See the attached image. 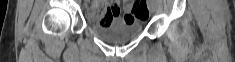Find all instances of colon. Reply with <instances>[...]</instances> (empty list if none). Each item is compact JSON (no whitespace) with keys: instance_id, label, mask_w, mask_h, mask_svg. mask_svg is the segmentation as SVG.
<instances>
[{"instance_id":"5ec220e1","label":"colon","mask_w":235,"mask_h":62,"mask_svg":"<svg viewBox=\"0 0 235 62\" xmlns=\"http://www.w3.org/2000/svg\"><path fill=\"white\" fill-rule=\"evenodd\" d=\"M104 8H106V7H104ZM147 16H148V11H147V8L145 5V1L144 0H136L134 2L132 13H130V19H128L127 21H132L135 18L145 19V18H147ZM100 23L105 26H108L111 24L108 13L104 14Z\"/></svg>"}]
</instances>
